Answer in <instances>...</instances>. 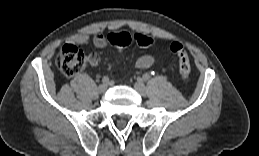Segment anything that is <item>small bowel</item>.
<instances>
[{
	"label": "small bowel",
	"instance_id": "c3829d8e",
	"mask_svg": "<svg viewBox=\"0 0 259 156\" xmlns=\"http://www.w3.org/2000/svg\"><path fill=\"white\" fill-rule=\"evenodd\" d=\"M70 42L85 45L90 42L94 44L97 48H105L110 44L108 36L97 33L94 36L90 37L87 34H76L70 38ZM99 56L96 54H92L89 57V62L92 66H97L99 63ZM154 62L153 56L146 54L141 57H139L136 61V67L137 68H148L150 67Z\"/></svg>",
	"mask_w": 259,
	"mask_h": 156
}]
</instances>
